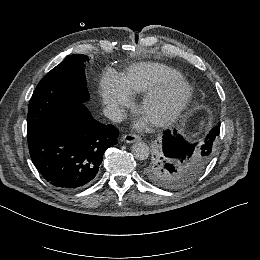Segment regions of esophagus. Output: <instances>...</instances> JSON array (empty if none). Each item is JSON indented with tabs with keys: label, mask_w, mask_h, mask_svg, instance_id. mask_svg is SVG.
<instances>
[{
	"label": "esophagus",
	"mask_w": 260,
	"mask_h": 260,
	"mask_svg": "<svg viewBox=\"0 0 260 260\" xmlns=\"http://www.w3.org/2000/svg\"><path fill=\"white\" fill-rule=\"evenodd\" d=\"M141 138L136 134H125L123 136V140L127 143H134L136 141H139Z\"/></svg>",
	"instance_id": "esophagus-1"
}]
</instances>
